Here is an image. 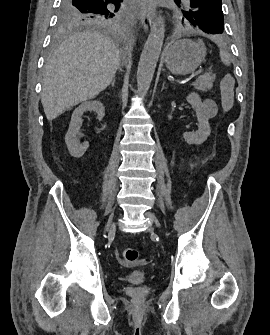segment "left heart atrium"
<instances>
[{
	"instance_id": "obj_1",
	"label": "left heart atrium",
	"mask_w": 270,
	"mask_h": 335,
	"mask_svg": "<svg viewBox=\"0 0 270 335\" xmlns=\"http://www.w3.org/2000/svg\"><path fill=\"white\" fill-rule=\"evenodd\" d=\"M144 10L148 13H151L153 11V5L152 4L145 5Z\"/></svg>"
}]
</instances>
